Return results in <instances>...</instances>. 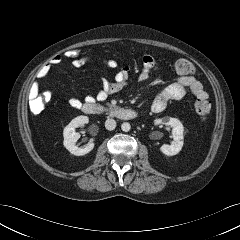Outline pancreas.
<instances>
[{
	"mask_svg": "<svg viewBox=\"0 0 240 240\" xmlns=\"http://www.w3.org/2000/svg\"><path fill=\"white\" fill-rule=\"evenodd\" d=\"M106 105L109 107V108H116V106L115 105H113V104H111V103H106Z\"/></svg>",
	"mask_w": 240,
	"mask_h": 240,
	"instance_id": "pancreas-1",
	"label": "pancreas"
}]
</instances>
